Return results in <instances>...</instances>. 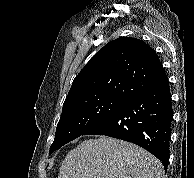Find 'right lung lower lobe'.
Instances as JSON below:
<instances>
[{
  "instance_id": "obj_1",
  "label": "right lung lower lobe",
  "mask_w": 194,
  "mask_h": 178,
  "mask_svg": "<svg viewBox=\"0 0 194 178\" xmlns=\"http://www.w3.org/2000/svg\"><path fill=\"white\" fill-rule=\"evenodd\" d=\"M172 119L168 82L128 99L83 135H106L132 142L152 153L167 169Z\"/></svg>"
}]
</instances>
